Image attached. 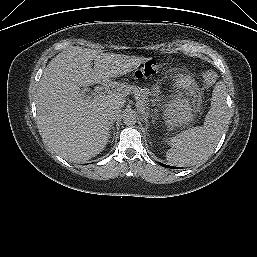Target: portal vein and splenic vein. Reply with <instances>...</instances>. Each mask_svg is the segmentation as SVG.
<instances>
[{
  "mask_svg": "<svg viewBox=\"0 0 257 257\" xmlns=\"http://www.w3.org/2000/svg\"><path fill=\"white\" fill-rule=\"evenodd\" d=\"M104 96L105 95H103V94L94 95V99H100V98H103Z\"/></svg>",
  "mask_w": 257,
  "mask_h": 257,
  "instance_id": "portal-vein-and-splenic-vein-1",
  "label": "portal vein and splenic vein"
}]
</instances>
